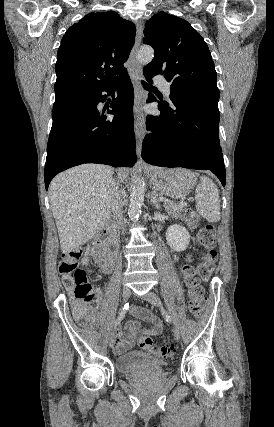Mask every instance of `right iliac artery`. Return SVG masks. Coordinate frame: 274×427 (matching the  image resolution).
<instances>
[{"instance_id": "82829eb1", "label": "right iliac artery", "mask_w": 274, "mask_h": 427, "mask_svg": "<svg viewBox=\"0 0 274 427\" xmlns=\"http://www.w3.org/2000/svg\"><path fill=\"white\" fill-rule=\"evenodd\" d=\"M128 309H129V303H126L124 305V307L122 308V310H121V312H120V314H119V316L115 322V328L120 324L121 320L125 317V314L128 311Z\"/></svg>"}]
</instances>
